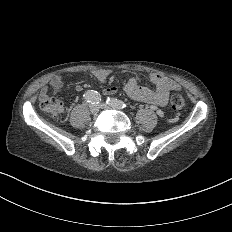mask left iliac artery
<instances>
[{"label": "left iliac artery", "mask_w": 232, "mask_h": 232, "mask_svg": "<svg viewBox=\"0 0 232 232\" xmlns=\"http://www.w3.org/2000/svg\"><path fill=\"white\" fill-rule=\"evenodd\" d=\"M106 103L109 106H111V107H113L115 109H120V110L126 109V108L129 107V105L127 103H125V102H123L121 100H117V99H113V98H109V97L106 100Z\"/></svg>", "instance_id": "left-iliac-artery-1"}]
</instances>
